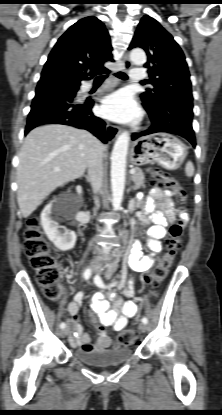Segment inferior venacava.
<instances>
[{
	"label": "inferior vena cava",
	"instance_id": "602c4592",
	"mask_svg": "<svg viewBox=\"0 0 222 415\" xmlns=\"http://www.w3.org/2000/svg\"><path fill=\"white\" fill-rule=\"evenodd\" d=\"M104 146L98 141L94 145L88 160V177L94 193L101 190L103 182V157Z\"/></svg>",
	"mask_w": 222,
	"mask_h": 415
}]
</instances>
